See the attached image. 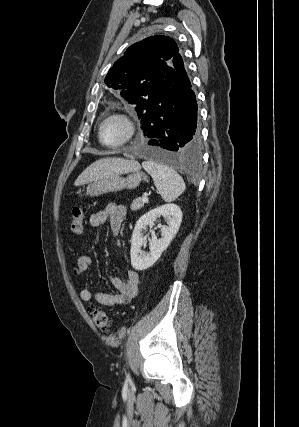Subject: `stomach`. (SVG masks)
<instances>
[{
	"mask_svg": "<svg viewBox=\"0 0 299 427\" xmlns=\"http://www.w3.org/2000/svg\"><path fill=\"white\" fill-rule=\"evenodd\" d=\"M142 180L148 182L147 176L140 172V169L128 172L126 177L122 174H115L91 183L87 187L86 195L95 197L124 189H135Z\"/></svg>",
	"mask_w": 299,
	"mask_h": 427,
	"instance_id": "1",
	"label": "stomach"
}]
</instances>
